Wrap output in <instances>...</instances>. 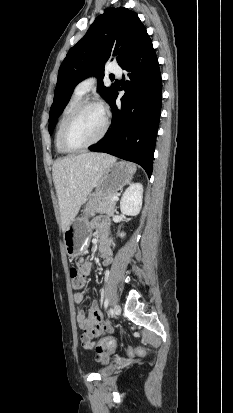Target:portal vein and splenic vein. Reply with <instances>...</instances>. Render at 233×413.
<instances>
[{
	"label": "portal vein and splenic vein",
	"mask_w": 233,
	"mask_h": 413,
	"mask_svg": "<svg viewBox=\"0 0 233 413\" xmlns=\"http://www.w3.org/2000/svg\"><path fill=\"white\" fill-rule=\"evenodd\" d=\"M113 200L117 201L118 200V196H114Z\"/></svg>",
	"instance_id": "portal-vein-and-splenic-vein-1"
}]
</instances>
